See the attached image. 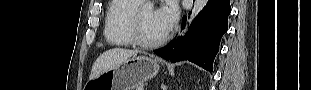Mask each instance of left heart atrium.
Masks as SVG:
<instances>
[{
	"instance_id": "left-heart-atrium-1",
	"label": "left heart atrium",
	"mask_w": 311,
	"mask_h": 90,
	"mask_svg": "<svg viewBox=\"0 0 311 90\" xmlns=\"http://www.w3.org/2000/svg\"><path fill=\"white\" fill-rule=\"evenodd\" d=\"M155 18L162 29L167 33L172 29L178 18L176 5L167 3L155 12Z\"/></svg>"
}]
</instances>
